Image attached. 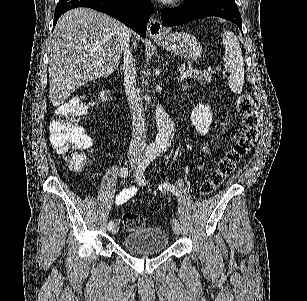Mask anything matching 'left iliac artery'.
<instances>
[{"mask_svg": "<svg viewBox=\"0 0 307 301\" xmlns=\"http://www.w3.org/2000/svg\"><path fill=\"white\" fill-rule=\"evenodd\" d=\"M152 158H147V159H143V161L139 164L137 171H136V179L137 182L141 185L145 184V177H144V171L147 168V166L150 164V162L152 161ZM159 189L162 190V188H164L165 190H169L171 193H173V195H175L176 197H179V191L177 189V187H175L173 184L170 183H164V184H159Z\"/></svg>", "mask_w": 307, "mask_h": 301, "instance_id": "obj_1", "label": "left iliac artery"}]
</instances>
